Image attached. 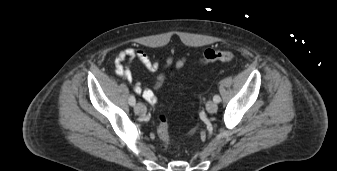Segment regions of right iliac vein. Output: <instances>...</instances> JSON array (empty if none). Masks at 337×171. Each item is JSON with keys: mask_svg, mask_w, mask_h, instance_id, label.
<instances>
[{"mask_svg": "<svg viewBox=\"0 0 337 171\" xmlns=\"http://www.w3.org/2000/svg\"><path fill=\"white\" fill-rule=\"evenodd\" d=\"M134 111H135L136 114L143 116V115L146 114L147 109H146L144 104L137 103L134 107Z\"/></svg>", "mask_w": 337, "mask_h": 171, "instance_id": "right-iliac-vein-1", "label": "right iliac vein"}]
</instances>
